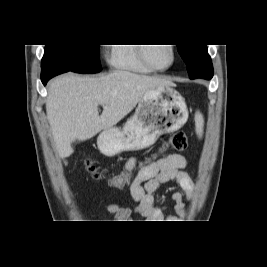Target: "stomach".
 Masks as SVG:
<instances>
[{
    "label": "stomach",
    "instance_id": "stomach-1",
    "mask_svg": "<svg viewBox=\"0 0 267 267\" xmlns=\"http://www.w3.org/2000/svg\"><path fill=\"white\" fill-rule=\"evenodd\" d=\"M188 119L184 98L172 87L148 91L139 101L134 115L122 128L103 130L97 146L105 156L136 151L153 145L165 133L181 128Z\"/></svg>",
    "mask_w": 267,
    "mask_h": 267
}]
</instances>
